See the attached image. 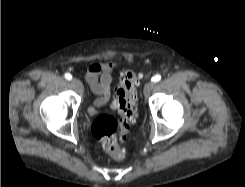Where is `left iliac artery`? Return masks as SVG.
<instances>
[{
    "label": "left iliac artery",
    "instance_id": "44dca946",
    "mask_svg": "<svg viewBox=\"0 0 245 187\" xmlns=\"http://www.w3.org/2000/svg\"><path fill=\"white\" fill-rule=\"evenodd\" d=\"M161 80V75L157 74L152 77L151 81L152 82H159Z\"/></svg>",
    "mask_w": 245,
    "mask_h": 187
}]
</instances>
